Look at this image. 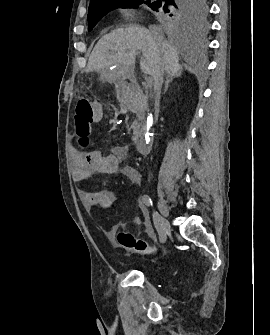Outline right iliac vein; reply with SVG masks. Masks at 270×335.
<instances>
[{"label": "right iliac vein", "instance_id": "obj_1", "mask_svg": "<svg viewBox=\"0 0 270 335\" xmlns=\"http://www.w3.org/2000/svg\"><path fill=\"white\" fill-rule=\"evenodd\" d=\"M158 208H159V211L161 212L162 214V223H163V227L165 230H169L170 228V225H169V222L167 220V217L169 215V209H168V206L165 202V200L163 198H158Z\"/></svg>", "mask_w": 270, "mask_h": 335}]
</instances>
